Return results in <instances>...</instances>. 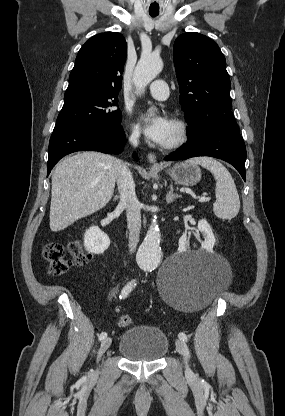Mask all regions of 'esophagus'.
I'll use <instances>...</instances> for the list:
<instances>
[{"instance_id": "34e87169", "label": "esophagus", "mask_w": 285, "mask_h": 416, "mask_svg": "<svg viewBox=\"0 0 285 416\" xmlns=\"http://www.w3.org/2000/svg\"><path fill=\"white\" fill-rule=\"evenodd\" d=\"M147 158H148L149 163H151L152 165L158 166V167L161 166L159 165V163H157V158H156V155H154V153H149Z\"/></svg>"}]
</instances>
